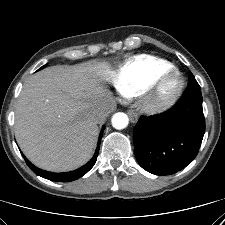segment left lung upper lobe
I'll return each instance as SVG.
<instances>
[{
  "mask_svg": "<svg viewBox=\"0 0 225 225\" xmlns=\"http://www.w3.org/2000/svg\"><path fill=\"white\" fill-rule=\"evenodd\" d=\"M188 86L191 88L200 89V86H199L198 82L196 81L195 77L193 76V74H190Z\"/></svg>",
  "mask_w": 225,
  "mask_h": 225,
  "instance_id": "1",
  "label": "left lung upper lobe"
}]
</instances>
